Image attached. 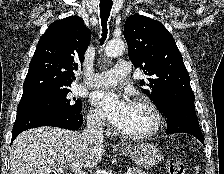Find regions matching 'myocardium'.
<instances>
[{"label": "myocardium", "mask_w": 224, "mask_h": 174, "mask_svg": "<svg viewBox=\"0 0 224 174\" xmlns=\"http://www.w3.org/2000/svg\"><path fill=\"white\" fill-rule=\"evenodd\" d=\"M133 103L142 105L150 111V113L152 114V117H153V125L149 130H147L145 132L125 133V132L119 130V134L123 138L129 139V140H143V139L150 138V137L154 136L155 134H157L162 126V115H161L158 107L155 105V103L146 97H138V98L134 99Z\"/></svg>", "instance_id": "myocardium-1"}]
</instances>
